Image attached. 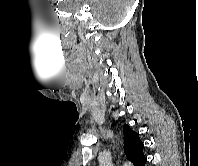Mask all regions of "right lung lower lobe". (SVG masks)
I'll use <instances>...</instances> for the list:
<instances>
[{
    "instance_id": "98d812e1",
    "label": "right lung lower lobe",
    "mask_w": 198,
    "mask_h": 166,
    "mask_svg": "<svg viewBox=\"0 0 198 166\" xmlns=\"http://www.w3.org/2000/svg\"><path fill=\"white\" fill-rule=\"evenodd\" d=\"M146 161H147V158H146V160L143 162L142 166H144V165H145Z\"/></svg>"
}]
</instances>
